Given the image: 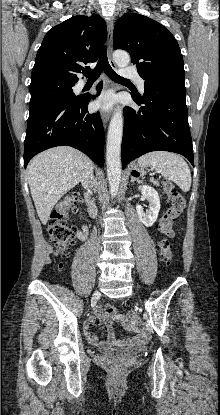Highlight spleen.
I'll list each match as a JSON object with an SVG mask.
<instances>
[{
  "label": "spleen",
  "mask_w": 220,
  "mask_h": 415,
  "mask_svg": "<svg viewBox=\"0 0 220 415\" xmlns=\"http://www.w3.org/2000/svg\"><path fill=\"white\" fill-rule=\"evenodd\" d=\"M138 163L141 167L149 166L163 177L171 179L182 191L188 192L190 190V169L179 155L166 151H155L141 156Z\"/></svg>",
  "instance_id": "spleen-1"
}]
</instances>
